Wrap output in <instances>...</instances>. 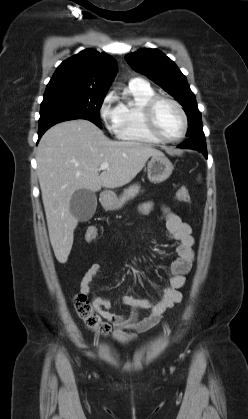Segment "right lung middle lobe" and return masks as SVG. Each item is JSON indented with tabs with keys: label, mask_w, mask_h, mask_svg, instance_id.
Listing matches in <instances>:
<instances>
[{
	"label": "right lung middle lobe",
	"mask_w": 248,
	"mask_h": 419,
	"mask_svg": "<svg viewBox=\"0 0 248 419\" xmlns=\"http://www.w3.org/2000/svg\"><path fill=\"white\" fill-rule=\"evenodd\" d=\"M105 95L76 88H46L39 121L58 115H76L102 128L99 110Z\"/></svg>",
	"instance_id": "dd1d6c3e"
}]
</instances>
